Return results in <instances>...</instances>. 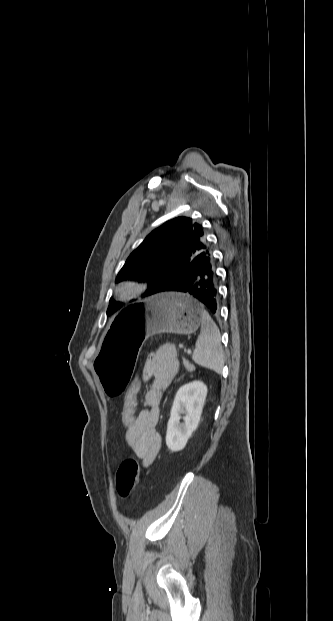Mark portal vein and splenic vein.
I'll return each mask as SVG.
<instances>
[{"mask_svg": "<svg viewBox=\"0 0 333 621\" xmlns=\"http://www.w3.org/2000/svg\"><path fill=\"white\" fill-rule=\"evenodd\" d=\"M187 353H188V354H191V350H190V349H189V350H187Z\"/></svg>", "mask_w": 333, "mask_h": 621, "instance_id": "18ae733b", "label": "portal vein and splenic vein"}]
</instances>
